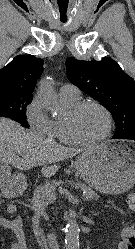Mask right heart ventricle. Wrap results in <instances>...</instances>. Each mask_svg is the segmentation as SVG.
Wrapping results in <instances>:
<instances>
[{
  "mask_svg": "<svg viewBox=\"0 0 135 249\" xmlns=\"http://www.w3.org/2000/svg\"><path fill=\"white\" fill-rule=\"evenodd\" d=\"M64 104L69 108H73L76 104L79 103V99H69L61 97ZM52 138L65 143L73 144L71 138L69 137L66 129L65 119H55L52 120V126L49 134Z\"/></svg>",
  "mask_w": 135,
  "mask_h": 249,
  "instance_id": "e07e8e85",
  "label": "right heart ventricle"
}]
</instances>
